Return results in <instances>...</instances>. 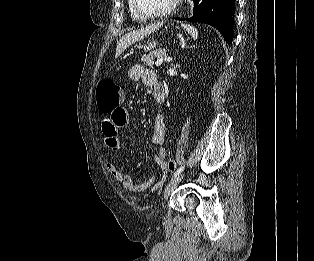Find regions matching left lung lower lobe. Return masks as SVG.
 <instances>
[{"instance_id":"1","label":"left lung lower lobe","mask_w":314,"mask_h":261,"mask_svg":"<svg viewBox=\"0 0 314 261\" xmlns=\"http://www.w3.org/2000/svg\"><path fill=\"white\" fill-rule=\"evenodd\" d=\"M194 3V16L187 20L215 27L225 41L231 43L234 37L235 0H194Z\"/></svg>"}]
</instances>
